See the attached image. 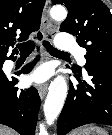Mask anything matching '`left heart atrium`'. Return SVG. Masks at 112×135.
<instances>
[{
    "label": "left heart atrium",
    "mask_w": 112,
    "mask_h": 135,
    "mask_svg": "<svg viewBox=\"0 0 112 135\" xmlns=\"http://www.w3.org/2000/svg\"><path fill=\"white\" fill-rule=\"evenodd\" d=\"M48 76V71L43 68H40L32 74L30 80L35 83H42L48 78Z\"/></svg>",
    "instance_id": "obj_1"
}]
</instances>
